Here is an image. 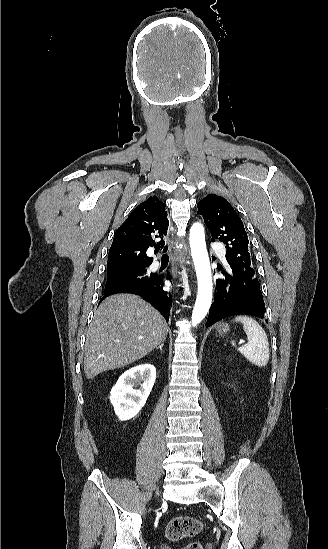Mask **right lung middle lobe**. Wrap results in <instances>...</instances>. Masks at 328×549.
Instances as JSON below:
<instances>
[{"label": "right lung middle lobe", "mask_w": 328, "mask_h": 549, "mask_svg": "<svg viewBox=\"0 0 328 549\" xmlns=\"http://www.w3.org/2000/svg\"><path fill=\"white\" fill-rule=\"evenodd\" d=\"M155 273H148L146 267L122 270L107 274L105 291L108 292L130 284H142L148 282Z\"/></svg>", "instance_id": "right-lung-middle-lobe-1"}]
</instances>
